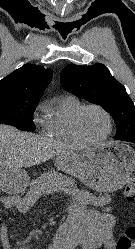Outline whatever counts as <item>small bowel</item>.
I'll use <instances>...</instances> for the list:
<instances>
[{
  "label": "small bowel",
  "mask_w": 135,
  "mask_h": 249,
  "mask_svg": "<svg viewBox=\"0 0 135 249\" xmlns=\"http://www.w3.org/2000/svg\"><path fill=\"white\" fill-rule=\"evenodd\" d=\"M0 202L3 208L16 209L20 215L25 214L27 211L25 201L18 196H5L1 198ZM110 202L109 196H99L94 200V205L98 210L80 209L86 222V237L92 244V249L97 246L114 249L112 230L116 222V216ZM0 241L2 249H11L10 230L6 225L0 227Z\"/></svg>",
  "instance_id": "small-bowel-1"
}]
</instances>
